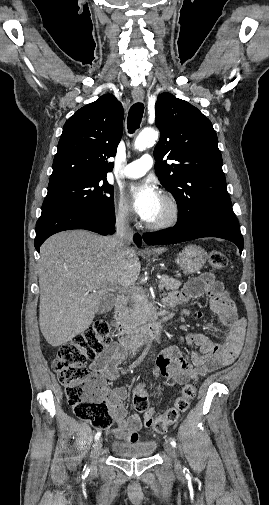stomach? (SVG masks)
Instances as JSON below:
<instances>
[{"label": "stomach", "mask_w": 269, "mask_h": 505, "mask_svg": "<svg viewBox=\"0 0 269 505\" xmlns=\"http://www.w3.org/2000/svg\"><path fill=\"white\" fill-rule=\"evenodd\" d=\"M207 259L206 251L197 245H188L178 253L176 263L185 274L199 271Z\"/></svg>", "instance_id": "0dacf381"}]
</instances>
